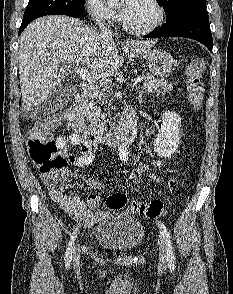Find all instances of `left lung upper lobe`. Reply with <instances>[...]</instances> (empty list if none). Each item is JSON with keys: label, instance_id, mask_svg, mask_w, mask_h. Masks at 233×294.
Wrapping results in <instances>:
<instances>
[{"label": "left lung upper lobe", "instance_id": "5c2ea615", "mask_svg": "<svg viewBox=\"0 0 233 294\" xmlns=\"http://www.w3.org/2000/svg\"><path fill=\"white\" fill-rule=\"evenodd\" d=\"M165 10L166 18H170L186 8L206 9V0H157Z\"/></svg>", "mask_w": 233, "mask_h": 294}]
</instances>
